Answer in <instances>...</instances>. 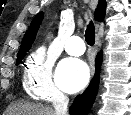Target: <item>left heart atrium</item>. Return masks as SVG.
<instances>
[{
    "mask_svg": "<svg viewBox=\"0 0 131 115\" xmlns=\"http://www.w3.org/2000/svg\"><path fill=\"white\" fill-rule=\"evenodd\" d=\"M90 75L86 62L76 58H66L61 61L56 72V81L61 89L74 93L82 89Z\"/></svg>",
    "mask_w": 131,
    "mask_h": 115,
    "instance_id": "1",
    "label": "left heart atrium"
}]
</instances>
